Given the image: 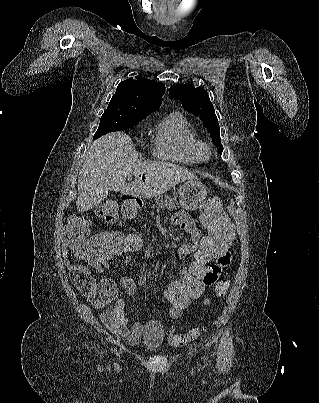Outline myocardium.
Segmentation results:
<instances>
[{
    "mask_svg": "<svg viewBox=\"0 0 319 403\" xmlns=\"http://www.w3.org/2000/svg\"><path fill=\"white\" fill-rule=\"evenodd\" d=\"M197 152L201 160H207L210 157V148L204 142H198Z\"/></svg>",
    "mask_w": 319,
    "mask_h": 403,
    "instance_id": "obj_1",
    "label": "myocardium"
}]
</instances>
